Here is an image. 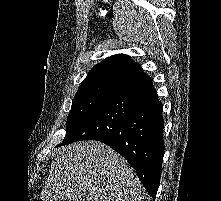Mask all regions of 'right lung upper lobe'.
I'll return each instance as SVG.
<instances>
[{
	"label": "right lung upper lobe",
	"instance_id": "right-lung-upper-lobe-1",
	"mask_svg": "<svg viewBox=\"0 0 221 201\" xmlns=\"http://www.w3.org/2000/svg\"><path fill=\"white\" fill-rule=\"evenodd\" d=\"M144 74L142 68L129 56L117 54L95 65L79 89L90 87L121 89Z\"/></svg>",
	"mask_w": 221,
	"mask_h": 201
}]
</instances>
